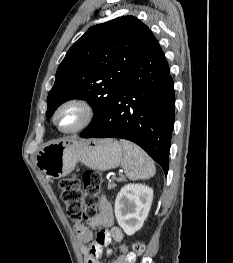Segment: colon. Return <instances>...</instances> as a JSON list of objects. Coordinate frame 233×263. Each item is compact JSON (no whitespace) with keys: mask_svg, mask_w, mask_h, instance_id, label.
Returning <instances> with one entry per match:
<instances>
[{"mask_svg":"<svg viewBox=\"0 0 233 263\" xmlns=\"http://www.w3.org/2000/svg\"><path fill=\"white\" fill-rule=\"evenodd\" d=\"M102 183V175L93 170L84 173L82 183L77 176L60 180L61 198L68 216L73 221H83L97 215ZM145 248V243L142 240H136L132 244L133 252L138 255L142 254Z\"/></svg>","mask_w":233,"mask_h":263,"instance_id":"obj_1","label":"colon"}]
</instances>
